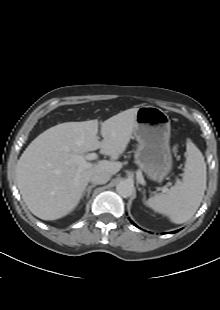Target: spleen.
Returning <instances> with one entry per match:
<instances>
[{
	"label": "spleen",
	"mask_w": 220,
	"mask_h": 310,
	"mask_svg": "<svg viewBox=\"0 0 220 310\" xmlns=\"http://www.w3.org/2000/svg\"><path fill=\"white\" fill-rule=\"evenodd\" d=\"M186 154L182 181L146 202L155 212L168 216L176 224L188 221L195 214L206 190V164L201 151L188 141Z\"/></svg>",
	"instance_id": "spleen-1"
}]
</instances>
